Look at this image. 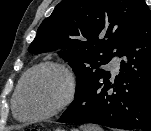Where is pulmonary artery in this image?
Masks as SVG:
<instances>
[{
  "mask_svg": "<svg viewBox=\"0 0 151 131\" xmlns=\"http://www.w3.org/2000/svg\"><path fill=\"white\" fill-rule=\"evenodd\" d=\"M120 65V61L118 58H114L110 63H109V68L113 73H116L118 71Z\"/></svg>",
  "mask_w": 151,
  "mask_h": 131,
  "instance_id": "obj_1",
  "label": "pulmonary artery"
}]
</instances>
